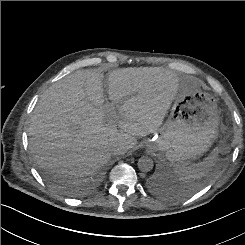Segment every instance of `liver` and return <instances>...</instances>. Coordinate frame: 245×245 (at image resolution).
Instances as JSON below:
<instances>
[{"mask_svg":"<svg viewBox=\"0 0 245 245\" xmlns=\"http://www.w3.org/2000/svg\"><path fill=\"white\" fill-rule=\"evenodd\" d=\"M103 74L78 70L49 87L28 127L29 148L38 166L79 178L133 148L162 125L180 78L161 67H129L108 76V95L118 116L107 123ZM119 128V129H118Z\"/></svg>","mask_w":245,"mask_h":245,"instance_id":"6515ba94","label":"liver"}]
</instances>
